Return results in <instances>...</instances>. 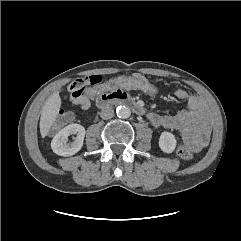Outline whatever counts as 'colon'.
<instances>
[{"label":"colon","mask_w":241,"mask_h":241,"mask_svg":"<svg viewBox=\"0 0 241 241\" xmlns=\"http://www.w3.org/2000/svg\"><path fill=\"white\" fill-rule=\"evenodd\" d=\"M123 90H138L150 97H157L160 93L159 88L152 84L148 79L140 76H119L104 81L100 75H91L84 79L77 80L70 84L69 93L72 98L88 96L92 98L97 94H107L122 92ZM73 120L71 113H61L60 124H66ZM177 155L183 160H191L192 152L186 146H178Z\"/></svg>","instance_id":"5ec220e1"}]
</instances>
